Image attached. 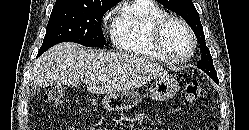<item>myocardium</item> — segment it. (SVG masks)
Listing matches in <instances>:
<instances>
[{"label":"myocardium","mask_w":249,"mask_h":130,"mask_svg":"<svg viewBox=\"0 0 249 130\" xmlns=\"http://www.w3.org/2000/svg\"><path fill=\"white\" fill-rule=\"evenodd\" d=\"M179 23L187 32L191 41V50L189 54L183 58H176L172 56L166 49L164 43L165 32L168 26L173 23ZM153 44L156 51L160 56L171 63L182 64L190 61L196 53L197 50V38L191 26L181 17L175 15H167L160 19L154 26L152 32Z\"/></svg>","instance_id":"myocardium-1"}]
</instances>
